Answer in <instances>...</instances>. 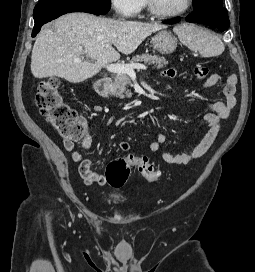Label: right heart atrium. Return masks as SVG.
<instances>
[{"label":"right heart atrium","mask_w":255,"mask_h":272,"mask_svg":"<svg viewBox=\"0 0 255 272\" xmlns=\"http://www.w3.org/2000/svg\"><path fill=\"white\" fill-rule=\"evenodd\" d=\"M114 10L122 16H136L142 8L143 0H110Z\"/></svg>","instance_id":"obj_1"}]
</instances>
